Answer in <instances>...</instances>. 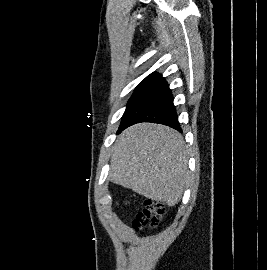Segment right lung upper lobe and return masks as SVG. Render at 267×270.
<instances>
[{"label": "right lung upper lobe", "mask_w": 267, "mask_h": 270, "mask_svg": "<svg viewBox=\"0 0 267 270\" xmlns=\"http://www.w3.org/2000/svg\"><path fill=\"white\" fill-rule=\"evenodd\" d=\"M149 76H154V77H156V76H157V73L154 72V73L150 74ZM147 77H148V76H147Z\"/></svg>", "instance_id": "obj_1"}]
</instances>
